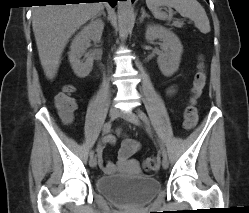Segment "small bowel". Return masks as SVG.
<instances>
[{
	"label": "small bowel",
	"instance_id": "small-bowel-1",
	"mask_svg": "<svg viewBox=\"0 0 249 213\" xmlns=\"http://www.w3.org/2000/svg\"><path fill=\"white\" fill-rule=\"evenodd\" d=\"M176 91V87L174 85L168 87L167 94L169 96L173 95ZM65 121H70L65 119ZM115 138L113 136H107L102 140V143L98 145L97 148V157H98V164L103 172L105 173H113L116 169V165L110 161L105 160L103 157L104 146L106 144H114ZM140 148V143L135 139L125 138L122 143L120 150L118 152V161L120 163L126 162L133 154L138 152Z\"/></svg>",
	"mask_w": 249,
	"mask_h": 213
}]
</instances>
